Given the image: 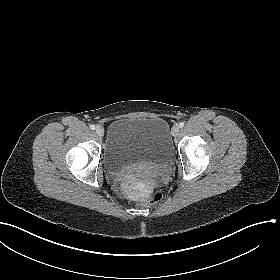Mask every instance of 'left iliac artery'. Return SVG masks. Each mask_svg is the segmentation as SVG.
<instances>
[{"instance_id":"obj_1","label":"left iliac artery","mask_w":280,"mask_h":280,"mask_svg":"<svg viewBox=\"0 0 280 280\" xmlns=\"http://www.w3.org/2000/svg\"><path fill=\"white\" fill-rule=\"evenodd\" d=\"M179 127H180V128L184 127V122H180V123H179Z\"/></svg>"}]
</instances>
